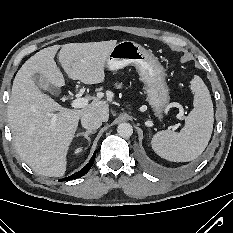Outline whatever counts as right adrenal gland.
Masks as SVG:
<instances>
[{
	"instance_id": "1",
	"label": "right adrenal gland",
	"mask_w": 233,
	"mask_h": 233,
	"mask_svg": "<svg viewBox=\"0 0 233 233\" xmlns=\"http://www.w3.org/2000/svg\"><path fill=\"white\" fill-rule=\"evenodd\" d=\"M94 133H95V131L80 132V133L77 134V137H79V136H84V138L87 139V140H88V143L90 144L91 139H90L89 135H90V134H94Z\"/></svg>"
}]
</instances>
